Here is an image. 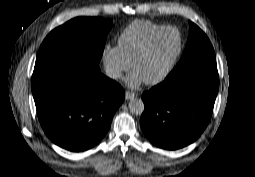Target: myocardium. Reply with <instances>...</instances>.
I'll list each match as a JSON object with an SVG mask.
<instances>
[{"label":"myocardium","instance_id":"f54148a6","mask_svg":"<svg viewBox=\"0 0 255 177\" xmlns=\"http://www.w3.org/2000/svg\"><path fill=\"white\" fill-rule=\"evenodd\" d=\"M168 31H175L178 34L179 37V48L176 52V54L172 57L166 68L162 71L160 75H158L156 78L145 81L148 85H156L164 81L169 74L171 73L172 69L174 68L175 64L179 60V58L182 55L183 49H184V40L181 32L173 26L165 27L155 33H153L148 40L145 42V44L142 46V48L138 51V53L135 55L134 59L131 62V68L134 69L135 64L144 58L148 51L150 50L153 43L156 41V39L161 36L162 34L168 32Z\"/></svg>","mask_w":255,"mask_h":177}]
</instances>
